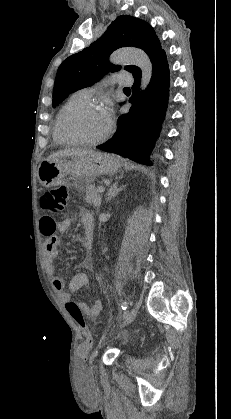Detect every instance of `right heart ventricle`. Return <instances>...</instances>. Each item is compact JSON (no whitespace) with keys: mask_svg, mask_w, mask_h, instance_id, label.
Here are the masks:
<instances>
[{"mask_svg":"<svg viewBox=\"0 0 231 419\" xmlns=\"http://www.w3.org/2000/svg\"><path fill=\"white\" fill-rule=\"evenodd\" d=\"M88 102L79 91L71 95L68 100L61 106L59 111L56 114L54 126H53V139L56 143L61 145H72L75 144L74 142L70 141L68 138L64 136L61 129V122L64 115L71 110L72 108L85 104Z\"/></svg>","mask_w":231,"mask_h":419,"instance_id":"obj_1","label":"right heart ventricle"}]
</instances>
